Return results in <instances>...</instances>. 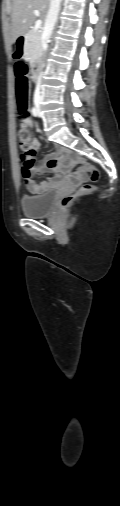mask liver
<instances>
[{
  "label": "liver",
  "mask_w": 120,
  "mask_h": 506,
  "mask_svg": "<svg viewBox=\"0 0 120 506\" xmlns=\"http://www.w3.org/2000/svg\"><path fill=\"white\" fill-rule=\"evenodd\" d=\"M50 0H13L11 43L26 32L35 23L37 16L34 10H39V18L45 20L49 10Z\"/></svg>",
  "instance_id": "1"
}]
</instances>
